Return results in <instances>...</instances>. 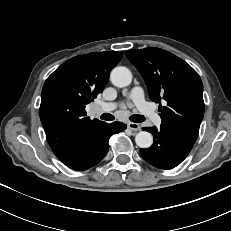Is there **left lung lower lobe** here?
<instances>
[{"instance_id":"0a47b994","label":"left lung lower lobe","mask_w":231,"mask_h":231,"mask_svg":"<svg viewBox=\"0 0 231 231\" xmlns=\"http://www.w3.org/2000/svg\"><path fill=\"white\" fill-rule=\"evenodd\" d=\"M142 129L152 133L154 142L151 147L140 149V154L144 160L160 169L168 170L179 165L188 156L195 143L163 124L160 128L153 126Z\"/></svg>"}]
</instances>
